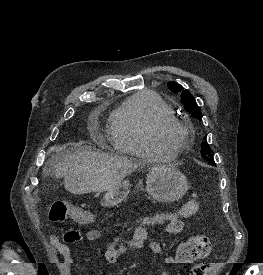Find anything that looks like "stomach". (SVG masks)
<instances>
[{
    "label": "stomach",
    "mask_w": 263,
    "mask_h": 275,
    "mask_svg": "<svg viewBox=\"0 0 263 275\" xmlns=\"http://www.w3.org/2000/svg\"><path fill=\"white\" fill-rule=\"evenodd\" d=\"M189 186L184 174L172 166H155L146 178L147 192L159 202H173L187 192ZM130 192L128 179L122 180L115 188L107 191L101 201L104 207H112L123 202Z\"/></svg>",
    "instance_id": "obj_1"
}]
</instances>
